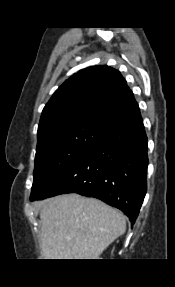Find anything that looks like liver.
Here are the masks:
<instances>
[{"label": "liver", "instance_id": "1", "mask_svg": "<svg viewBox=\"0 0 175 287\" xmlns=\"http://www.w3.org/2000/svg\"><path fill=\"white\" fill-rule=\"evenodd\" d=\"M44 259H97L126 231V217L100 200L69 194L40 209Z\"/></svg>", "mask_w": 175, "mask_h": 287}]
</instances>
